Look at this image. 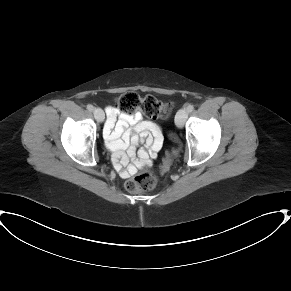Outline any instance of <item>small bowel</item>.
Masks as SVG:
<instances>
[{
    "label": "small bowel",
    "instance_id": "1",
    "mask_svg": "<svg viewBox=\"0 0 291 291\" xmlns=\"http://www.w3.org/2000/svg\"><path fill=\"white\" fill-rule=\"evenodd\" d=\"M106 114L103 131L116 169L127 177L152 165L162 146L160 126L143 120L140 112L127 113L116 106L106 107Z\"/></svg>",
    "mask_w": 291,
    "mask_h": 291
}]
</instances>
